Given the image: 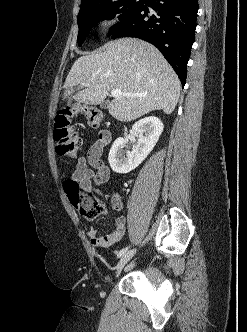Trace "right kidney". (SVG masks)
Masks as SVG:
<instances>
[{
    "mask_svg": "<svg viewBox=\"0 0 247 332\" xmlns=\"http://www.w3.org/2000/svg\"><path fill=\"white\" fill-rule=\"evenodd\" d=\"M163 128V123L155 116L145 117L137 121L133 125L131 133L138 138V141L131 152L123 150L127 144L126 139L119 137L113 143L108 156L112 170L125 174L137 168L153 150Z\"/></svg>",
    "mask_w": 247,
    "mask_h": 332,
    "instance_id": "right-kidney-1",
    "label": "right kidney"
}]
</instances>
